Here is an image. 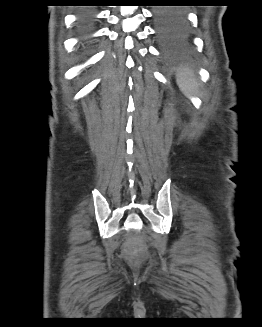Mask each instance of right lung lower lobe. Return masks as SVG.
<instances>
[{"mask_svg":"<svg viewBox=\"0 0 262 327\" xmlns=\"http://www.w3.org/2000/svg\"><path fill=\"white\" fill-rule=\"evenodd\" d=\"M94 14L95 12L92 10H87L81 13L78 25L82 33L87 34L92 32L94 26Z\"/></svg>","mask_w":262,"mask_h":327,"instance_id":"98d812e1","label":"right lung lower lobe"}]
</instances>
